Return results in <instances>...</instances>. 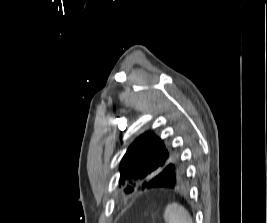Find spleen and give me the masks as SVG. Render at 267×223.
Instances as JSON below:
<instances>
[{
	"label": "spleen",
	"instance_id": "3e777b00",
	"mask_svg": "<svg viewBox=\"0 0 267 223\" xmlns=\"http://www.w3.org/2000/svg\"><path fill=\"white\" fill-rule=\"evenodd\" d=\"M164 220L166 223H193L189 212L175 202L167 205L164 212Z\"/></svg>",
	"mask_w": 267,
	"mask_h": 223
}]
</instances>
